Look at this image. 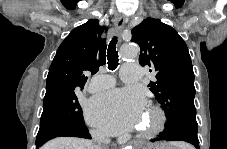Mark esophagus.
I'll use <instances>...</instances> for the list:
<instances>
[{
  "instance_id": "esophagus-1",
  "label": "esophagus",
  "mask_w": 227,
  "mask_h": 149,
  "mask_svg": "<svg viewBox=\"0 0 227 149\" xmlns=\"http://www.w3.org/2000/svg\"><path fill=\"white\" fill-rule=\"evenodd\" d=\"M127 22V18H124V17H119L117 19V22H116V33L117 35L120 37L123 30H124V27H125V24ZM140 144H143V141H140Z\"/></svg>"
}]
</instances>
